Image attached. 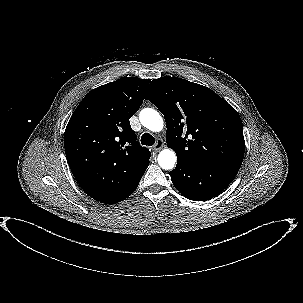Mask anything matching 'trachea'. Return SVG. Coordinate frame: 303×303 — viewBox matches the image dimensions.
<instances>
[{"label": "trachea", "mask_w": 303, "mask_h": 303, "mask_svg": "<svg viewBox=\"0 0 303 303\" xmlns=\"http://www.w3.org/2000/svg\"><path fill=\"white\" fill-rule=\"evenodd\" d=\"M141 143L142 145L152 146L155 143V138L149 133H144L141 137Z\"/></svg>", "instance_id": "3493384b"}]
</instances>
